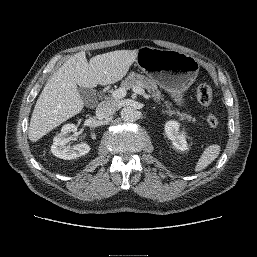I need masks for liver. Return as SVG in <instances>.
Wrapping results in <instances>:
<instances>
[{
	"label": "liver",
	"mask_w": 257,
	"mask_h": 257,
	"mask_svg": "<svg viewBox=\"0 0 257 257\" xmlns=\"http://www.w3.org/2000/svg\"><path fill=\"white\" fill-rule=\"evenodd\" d=\"M138 50H116L96 55L88 62L85 52L68 59L47 81L32 113L28 137L36 142L80 113L84 101L78 91L120 81L136 61Z\"/></svg>",
	"instance_id": "6515ba94"
}]
</instances>
